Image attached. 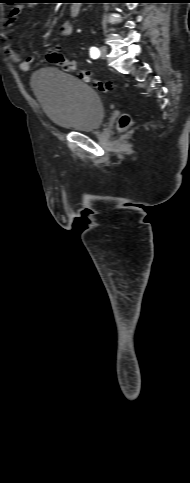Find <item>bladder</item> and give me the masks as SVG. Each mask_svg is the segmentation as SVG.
Masks as SVG:
<instances>
[{
  "mask_svg": "<svg viewBox=\"0 0 190 483\" xmlns=\"http://www.w3.org/2000/svg\"><path fill=\"white\" fill-rule=\"evenodd\" d=\"M31 88L49 121L63 130L93 131L104 121L105 108L100 96L73 76L45 68L33 75Z\"/></svg>",
  "mask_w": 190,
  "mask_h": 483,
  "instance_id": "obj_1",
  "label": "bladder"
}]
</instances>
